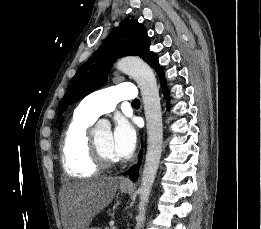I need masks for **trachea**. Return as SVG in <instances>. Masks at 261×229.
<instances>
[{"mask_svg":"<svg viewBox=\"0 0 261 229\" xmlns=\"http://www.w3.org/2000/svg\"><path fill=\"white\" fill-rule=\"evenodd\" d=\"M134 104H140V100L139 99H134L133 102H132V105Z\"/></svg>","mask_w":261,"mask_h":229,"instance_id":"obj_1","label":"trachea"}]
</instances>
